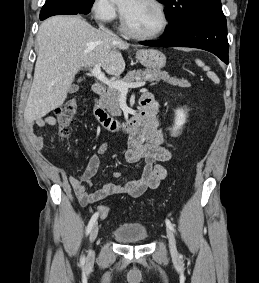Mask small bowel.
I'll use <instances>...</instances> for the list:
<instances>
[{
    "mask_svg": "<svg viewBox=\"0 0 259 283\" xmlns=\"http://www.w3.org/2000/svg\"><path fill=\"white\" fill-rule=\"evenodd\" d=\"M143 97L151 98L153 105L158 108V102L153 96L145 94ZM56 123V119L51 115L26 123V136L37 151L42 152L44 139L35 133L34 127H54ZM164 142L165 134L160 127L159 119L155 115L150 119L149 124L133 134L126 145L121 148L122 155L129 163L144 162L141 177L123 184H117L115 180L119 179L121 175L119 172H114L111 175V181L102 188L88 192L87 188L92 185V178L98 171L100 156L104 155L111 147V143L103 144L97 152L90 155L87 166L81 174L69 177V183L79 202L86 206L115 194H126L137 198L147 190L156 189L160 182L167 177V169L163 163L172 158V151L165 147ZM47 170L52 175L56 174L51 166H47ZM60 175L63 177L62 173Z\"/></svg>",
    "mask_w": 259,
    "mask_h": 283,
    "instance_id": "1",
    "label": "small bowel"
}]
</instances>
